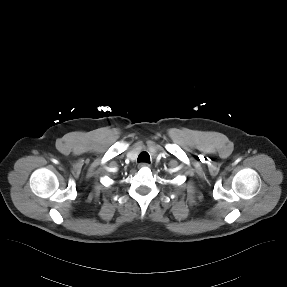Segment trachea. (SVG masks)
Here are the masks:
<instances>
[{"instance_id":"3493384b","label":"trachea","mask_w":287,"mask_h":287,"mask_svg":"<svg viewBox=\"0 0 287 287\" xmlns=\"http://www.w3.org/2000/svg\"><path fill=\"white\" fill-rule=\"evenodd\" d=\"M138 162L150 163V156L147 152H141L138 156Z\"/></svg>"}]
</instances>
